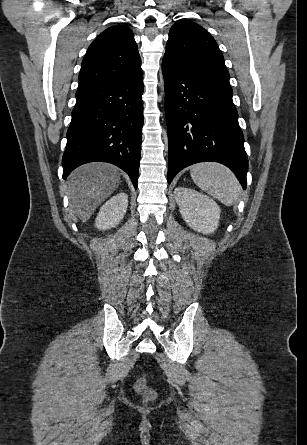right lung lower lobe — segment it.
Returning <instances> with one entry per match:
<instances>
[{
    "instance_id": "obj_1",
    "label": "right lung lower lobe",
    "mask_w": 307,
    "mask_h": 445,
    "mask_svg": "<svg viewBox=\"0 0 307 445\" xmlns=\"http://www.w3.org/2000/svg\"><path fill=\"white\" fill-rule=\"evenodd\" d=\"M142 69L110 83L78 89L67 145L63 178L93 161L123 169L137 188L143 126Z\"/></svg>"
}]
</instances>
